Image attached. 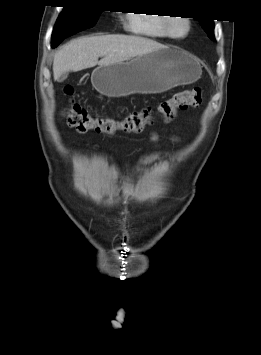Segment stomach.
<instances>
[{"mask_svg":"<svg viewBox=\"0 0 261 355\" xmlns=\"http://www.w3.org/2000/svg\"><path fill=\"white\" fill-rule=\"evenodd\" d=\"M202 73L199 60L175 47H162L130 60L99 65L91 75L102 95L121 97L135 93L157 94L191 84Z\"/></svg>","mask_w":261,"mask_h":355,"instance_id":"0dacf381","label":"stomach"}]
</instances>
